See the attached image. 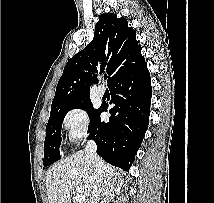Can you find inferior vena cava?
<instances>
[{
    "label": "inferior vena cava",
    "mask_w": 214,
    "mask_h": 203,
    "mask_svg": "<svg viewBox=\"0 0 214 203\" xmlns=\"http://www.w3.org/2000/svg\"><path fill=\"white\" fill-rule=\"evenodd\" d=\"M84 153L88 160V163L93 167V174L91 176V179L94 181L96 185V194L94 195L90 203H99L100 191H101L100 186L103 180L102 166L104 163L97 154V145L93 140L87 141L85 145Z\"/></svg>",
    "instance_id": "obj_1"
}]
</instances>
